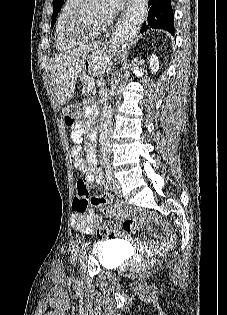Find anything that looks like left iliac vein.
<instances>
[{
	"instance_id": "4c4485c4",
	"label": "left iliac vein",
	"mask_w": 227,
	"mask_h": 315,
	"mask_svg": "<svg viewBox=\"0 0 227 315\" xmlns=\"http://www.w3.org/2000/svg\"><path fill=\"white\" fill-rule=\"evenodd\" d=\"M113 189H114V192L116 195L118 196H121V185H120V182L117 180V179H114V182H113ZM85 249V246L83 245L81 248H80V252H83Z\"/></svg>"
}]
</instances>
